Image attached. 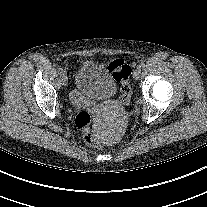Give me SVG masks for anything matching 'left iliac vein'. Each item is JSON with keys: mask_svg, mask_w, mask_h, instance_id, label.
Returning <instances> with one entry per match:
<instances>
[{"mask_svg": "<svg viewBox=\"0 0 207 207\" xmlns=\"http://www.w3.org/2000/svg\"><path fill=\"white\" fill-rule=\"evenodd\" d=\"M140 75H141V69H140V68H137V69L134 71V73H133V78H134L135 80H138L139 77H140Z\"/></svg>", "mask_w": 207, "mask_h": 207, "instance_id": "left-iliac-vein-1", "label": "left iliac vein"}]
</instances>
